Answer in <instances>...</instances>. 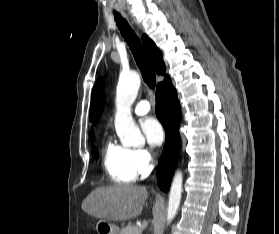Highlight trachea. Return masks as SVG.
Instances as JSON below:
<instances>
[{"instance_id": "trachea-1", "label": "trachea", "mask_w": 279, "mask_h": 234, "mask_svg": "<svg viewBox=\"0 0 279 234\" xmlns=\"http://www.w3.org/2000/svg\"><path fill=\"white\" fill-rule=\"evenodd\" d=\"M114 15L118 28L134 55L136 63L142 73L144 82L149 88L153 89L156 85V75L145 50L143 49L134 31L128 25L127 21L123 19L119 13H114Z\"/></svg>"}]
</instances>
